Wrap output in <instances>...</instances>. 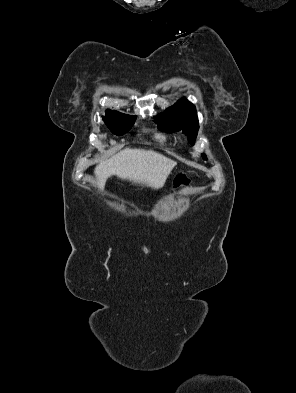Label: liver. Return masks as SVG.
<instances>
[{"label":"liver","mask_w":296,"mask_h":393,"mask_svg":"<svg viewBox=\"0 0 296 393\" xmlns=\"http://www.w3.org/2000/svg\"><path fill=\"white\" fill-rule=\"evenodd\" d=\"M175 165V161L153 150L126 148L95 167V183L103 191L107 178L116 175L134 184L159 189Z\"/></svg>","instance_id":"obj_1"}]
</instances>
